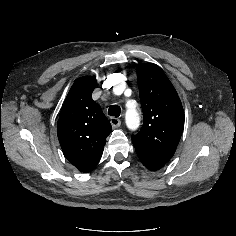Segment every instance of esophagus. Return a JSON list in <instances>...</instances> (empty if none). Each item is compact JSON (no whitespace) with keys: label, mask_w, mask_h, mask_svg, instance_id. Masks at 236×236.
I'll use <instances>...</instances> for the list:
<instances>
[{"label":"esophagus","mask_w":236,"mask_h":236,"mask_svg":"<svg viewBox=\"0 0 236 236\" xmlns=\"http://www.w3.org/2000/svg\"><path fill=\"white\" fill-rule=\"evenodd\" d=\"M110 123H111L112 127H114V128H117V127H119L121 125L120 119H118L116 117H112L110 119Z\"/></svg>","instance_id":"1"}]
</instances>
